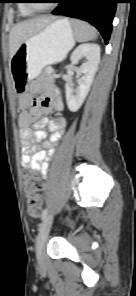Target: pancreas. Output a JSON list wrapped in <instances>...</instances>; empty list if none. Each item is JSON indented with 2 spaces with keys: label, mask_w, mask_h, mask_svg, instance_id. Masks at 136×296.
Returning <instances> with one entry per match:
<instances>
[{
  "label": "pancreas",
  "mask_w": 136,
  "mask_h": 296,
  "mask_svg": "<svg viewBox=\"0 0 136 296\" xmlns=\"http://www.w3.org/2000/svg\"><path fill=\"white\" fill-rule=\"evenodd\" d=\"M53 69L51 67H46L43 74L49 78H51V73H52Z\"/></svg>",
  "instance_id": "cf45deb5"
}]
</instances>
